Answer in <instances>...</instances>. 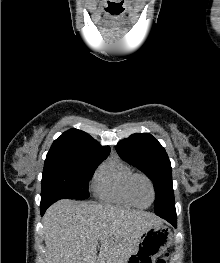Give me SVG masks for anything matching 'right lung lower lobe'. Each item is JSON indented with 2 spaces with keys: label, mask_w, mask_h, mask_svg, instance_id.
Masks as SVG:
<instances>
[{
  "label": "right lung lower lobe",
  "mask_w": 220,
  "mask_h": 263,
  "mask_svg": "<svg viewBox=\"0 0 220 263\" xmlns=\"http://www.w3.org/2000/svg\"><path fill=\"white\" fill-rule=\"evenodd\" d=\"M54 202H48V203H41L40 209H41V215H43L46 211V209Z\"/></svg>",
  "instance_id": "right-lung-lower-lobe-1"
}]
</instances>
